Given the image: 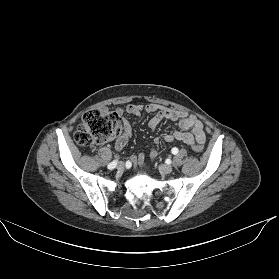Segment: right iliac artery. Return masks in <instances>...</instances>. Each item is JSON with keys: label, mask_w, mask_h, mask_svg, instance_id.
I'll use <instances>...</instances> for the list:
<instances>
[{"label": "right iliac artery", "mask_w": 279, "mask_h": 279, "mask_svg": "<svg viewBox=\"0 0 279 279\" xmlns=\"http://www.w3.org/2000/svg\"><path fill=\"white\" fill-rule=\"evenodd\" d=\"M117 165V160L112 161L111 163H109L108 165V169H114Z\"/></svg>", "instance_id": "1"}]
</instances>
